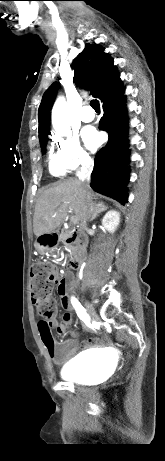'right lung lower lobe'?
<instances>
[{
	"instance_id": "98d812e1",
	"label": "right lung lower lobe",
	"mask_w": 165,
	"mask_h": 461,
	"mask_svg": "<svg viewBox=\"0 0 165 461\" xmlns=\"http://www.w3.org/2000/svg\"><path fill=\"white\" fill-rule=\"evenodd\" d=\"M123 93L103 105L104 115L99 129L106 131L109 139L95 157L90 183L94 191L110 196L122 205L127 202L129 180L128 118Z\"/></svg>"
}]
</instances>
